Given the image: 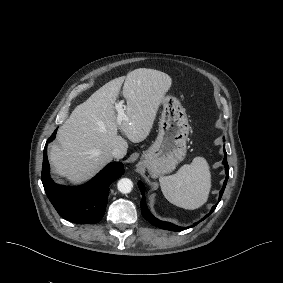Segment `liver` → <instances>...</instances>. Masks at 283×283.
I'll use <instances>...</instances> for the list:
<instances>
[{
  "label": "liver",
  "mask_w": 283,
  "mask_h": 283,
  "mask_svg": "<svg viewBox=\"0 0 283 283\" xmlns=\"http://www.w3.org/2000/svg\"><path fill=\"white\" fill-rule=\"evenodd\" d=\"M124 80L121 76L105 83L77 105L59 127V144H51L48 158L55 173L69 184L80 185L92 179L113 161V149L126 155L129 144L117 134L114 108ZM170 83L166 73L154 69L138 68L127 75L123 97L128 120L121 128L130 141L137 143L146 137L158 102Z\"/></svg>",
  "instance_id": "liver-1"
}]
</instances>
